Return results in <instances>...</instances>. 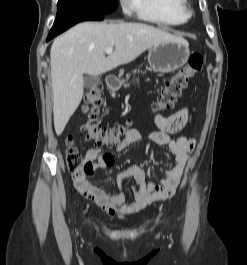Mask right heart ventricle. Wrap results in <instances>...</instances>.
Instances as JSON below:
<instances>
[{"mask_svg": "<svg viewBox=\"0 0 247 265\" xmlns=\"http://www.w3.org/2000/svg\"><path fill=\"white\" fill-rule=\"evenodd\" d=\"M138 17L159 25L178 26L189 19L187 0H135Z\"/></svg>", "mask_w": 247, "mask_h": 265, "instance_id": "right-heart-ventricle-1", "label": "right heart ventricle"}]
</instances>
